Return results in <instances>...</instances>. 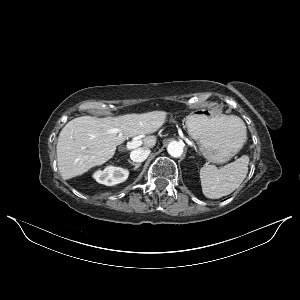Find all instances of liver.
<instances>
[{
    "label": "liver",
    "mask_w": 300,
    "mask_h": 300,
    "mask_svg": "<svg viewBox=\"0 0 300 300\" xmlns=\"http://www.w3.org/2000/svg\"><path fill=\"white\" fill-rule=\"evenodd\" d=\"M165 119L163 112L74 118L63 127L57 140L60 175L65 180L70 179L105 163L114 155L117 145L130 137L155 133ZM156 142L155 136H146L142 140V148H153Z\"/></svg>",
    "instance_id": "liver-1"
}]
</instances>
